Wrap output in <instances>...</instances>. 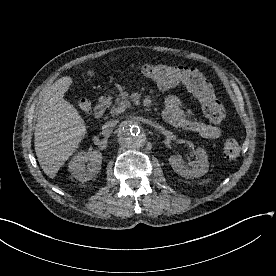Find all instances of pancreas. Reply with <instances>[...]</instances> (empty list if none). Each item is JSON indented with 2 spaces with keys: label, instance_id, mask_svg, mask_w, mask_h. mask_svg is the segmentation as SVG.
Listing matches in <instances>:
<instances>
[{
  "label": "pancreas",
  "instance_id": "1",
  "mask_svg": "<svg viewBox=\"0 0 276 276\" xmlns=\"http://www.w3.org/2000/svg\"><path fill=\"white\" fill-rule=\"evenodd\" d=\"M130 95L127 91H121L115 99V104L111 108V114L115 115L123 112L126 108L131 106L129 101Z\"/></svg>",
  "mask_w": 276,
  "mask_h": 276
}]
</instances>
